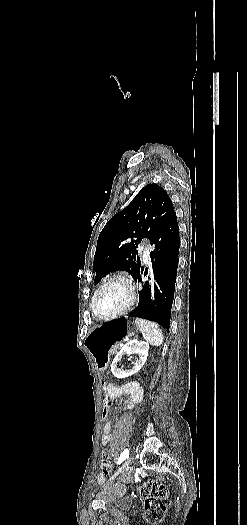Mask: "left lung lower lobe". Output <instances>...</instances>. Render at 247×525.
I'll list each match as a JSON object with an SVG mask.
<instances>
[{
  "instance_id": "1",
  "label": "left lung lower lobe",
  "mask_w": 247,
  "mask_h": 525,
  "mask_svg": "<svg viewBox=\"0 0 247 525\" xmlns=\"http://www.w3.org/2000/svg\"><path fill=\"white\" fill-rule=\"evenodd\" d=\"M150 242L154 244V250L150 253L152 270L149 274L148 270L144 271L142 267L135 281L142 280L141 273L143 272L151 280L142 285L139 291V304L129 316L157 322L169 330L180 248L176 213H173L162 224Z\"/></svg>"
}]
</instances>
